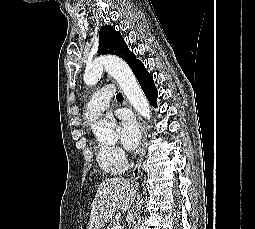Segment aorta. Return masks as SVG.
Segmentation results:
<instances>
[{"mask_svg":"<svg viewBox=\"0 0 255 229\" xmlns=\"http://www.w3.org/2000/svg\"><path fill=\"white\" fill-rule=\"evenodd\" d=\"M104 69L118 82L134 109L149 120L151 118L149 103L132 70L122 59L110 56L95 59L87 64L84 82L87 85L96 84L100 80ZM93 132L100 142H113L118 139L111 123L106 119L98 121Z\"/></svg>","mask_w":255,"mask_h":229,"instance_id":"1","label":"aorta"}]
</instances>
